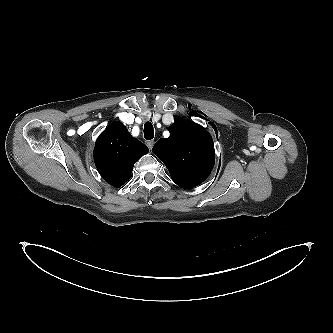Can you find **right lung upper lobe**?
Returning a JSON list of instances; mask_svg holds the SVG:
<instances>
[{
	"instance_id": "right-lung-upper-lobe-1",
	"label": "right lung upper lobe",
	"mask_w": 333,
	"mask_h": 333,
	"mask_svg": "<svg viewBox=\"0 0 333 333\" xmlns=\"http://www.w3.org/2000/svg\"><path fill=\"white\" fill-rule=\"evenodd\" d=\"M148 152L121 122L115 121L98 137L93 156L102 178L119 188L130 179L135 162Z\"/></svg>"
}]
</instances>
